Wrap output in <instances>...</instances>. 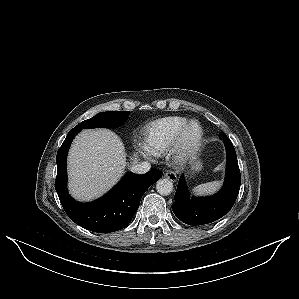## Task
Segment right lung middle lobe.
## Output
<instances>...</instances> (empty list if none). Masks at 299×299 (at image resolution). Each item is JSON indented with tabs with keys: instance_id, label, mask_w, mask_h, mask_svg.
Listing matches in <instances>:
<instances>
[{
	"instance_id": "right-lung-middle-lobe-1",
	"label": "right lung middle lobe",
	"mask_w": 299,
	"mask_h": 299,
	"mask_svg": "<svg viewBox=\"0 0 299 299\" xmlns=\"http://www.w3.org/2000/svg\"><path fill=\"white\" fill-rule=\"evenodd\" d=\"M129 112L116 111V112H102L94 117L83 121L81 124L74 127L76 130L87 128H113L123 124L127 120Z\"/></svg>"
}]
</instances>
